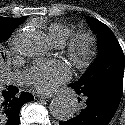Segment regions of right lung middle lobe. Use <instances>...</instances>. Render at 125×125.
I'll use <instances>...</instances> for the list:
<instances>
[{
    "label": "right lung middle lobe",
    "mask_w": 125,
    "mask_h": 125,
    "mask_svg": "<svg viewBox=\"0 0 125 125\" xmlns=\"http://www.w3.org/2000/svg\"><path fill=\"white\" fill-rule=\"evenodd\" d=\"M18 24H12V23H7L5 21H0V42L7 40L12 32L16 29ZM0 88V95H1V90Z\"/></svg>",
    "instance_id": "right-lung-middle-lobe-1"
}]
</instances>
